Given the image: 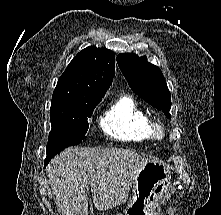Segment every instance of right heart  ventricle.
<instances>
[{
    "label": "right heart ventricle",
    "mask_w": 221,
    "mask_h": 215,
    "mask_svg": "<svg viewBox=\"0 0 221 215\" xmlns=\"http://www.w3.org/2000/svg\"><path fill=\"white\" fill-rule=\"evenodd\" d=\"M151 124L150 116L128 95L118 97L100 119L101 129L112 139L139 145L153 139Z\"/></svg>",
    "instance_id": "right-heart-ventricle-1"
}]
</instances>
